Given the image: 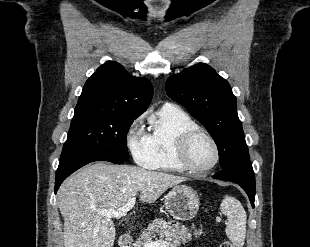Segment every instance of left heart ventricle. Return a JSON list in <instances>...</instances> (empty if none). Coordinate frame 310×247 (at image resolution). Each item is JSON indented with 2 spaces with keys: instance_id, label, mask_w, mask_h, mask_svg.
Here are the masks:
<instances>
[{
  "instance_id": "b2bd125f",
  "label": "left heart ventricle",
  "mask_w": 310,
  "mask_h": 247,
  "mask_svg": "<svg viewBox=\"0 0 310 247\" xmlns=\"http://www.w3.org/2000/svg\"><path fill=\"white\" fill-rule=\"evenodd\" d=\"M214 158V148L207 138L199 136L192 142L189 151V159L193 167H207L214 161Z\"/></svg>"
}]
</instances>
